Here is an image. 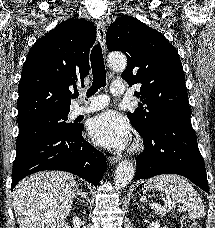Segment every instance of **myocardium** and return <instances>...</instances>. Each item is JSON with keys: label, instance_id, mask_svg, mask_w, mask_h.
I'll use <instances>...</instances> for the list:
<instances>
[{"label": "myocardium", "instance_id": "1", "mask_svg": "<svg viewBox=\"0 0 215 228\" xmlns=\"http://www.w3.org/2000/svg\"><path fill=\"white\" fill-rule=\"evenodd\" d=\"M135 149H139L140 148V143H136L134 146Z\"/></svg>", "mask_w": 215, "mask_h": 228}]
</instances>
